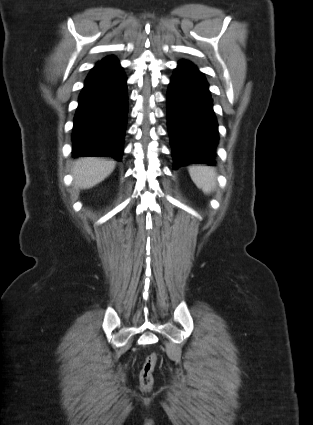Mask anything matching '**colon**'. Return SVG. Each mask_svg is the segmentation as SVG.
<instances>
[{
	"instance_id": "1",
	"label": "colon",
	"mask_w": 313,
	"mask_h": 425,
	"mask_svg": "<svg viewBox=\"0 0 313 425\" xmlns=\"http://www.w3.org/2000/svg\"><path fill=\"white\" fill-rule=\"evenodd\" d=\"M157 355L156 353H151L145 359L143 366L140 371V386L144 391H149L152 389L154 382V371L157 365Z\"/></svg>"
}]
</instances>
